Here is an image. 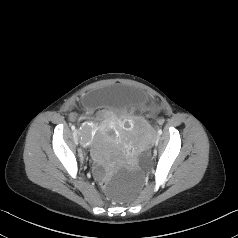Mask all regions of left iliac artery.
Here are the masks:
<instances>
[{
  "instance_id": "1",
  "label": "left iliac artery",
  "mask_w": 238,
  "mask_h": 238,
  "mask_svg": "<svg viewBox=\"0 0 238 238\" xmlns=\"http://www.w3.org/2000/svg\"><path fill=\"white\" fill-rule=\"evenodd\" d=\"M158 134L159 135H161L162 134V130L160 129V130H158Z\"/></svg>"
}]
</instances>
